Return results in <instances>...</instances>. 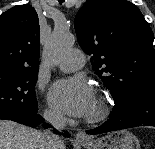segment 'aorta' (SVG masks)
Returning a JSON list of instances; mask_svg holds the SVG:
<instances>
[{"label":"aorta","instance_id":"obj_1","mask_svg":"<svg viewBox=\"0 0 155 149\" xmlns=\"http://www.w3.org/2000/svg\"><path fill=\"white\" fill-rule=\"evenodd\" d=\"M75 37L67 26H56L45 47L44 55L49 64H55L58 59L71 50Z\"/></svg>","mask_w":155,"mask_h":149}]
</instances>
